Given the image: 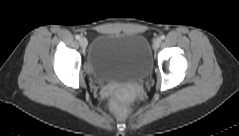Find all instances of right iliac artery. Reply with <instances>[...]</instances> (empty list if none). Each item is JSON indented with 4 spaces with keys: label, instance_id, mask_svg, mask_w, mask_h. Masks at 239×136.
I'll list each match as a JSON object with an SVG mask.
<instances>
[{
    "label": "right iliac artery",
    "instance_id": "right-iliac-artery-1",
    "mask_svg": "<svg viewBox=\"0 0 239 136\" xmlns=\"http://www.w3.org/2000/svg\"><path fill=\"white\" fill-rule=\"evenodd\" d=\"M75 38L78 40L80 39V35H76Z\"/></svg>",
    "mask_w": 239,
    "mask_h": 136
}]
</instances>
